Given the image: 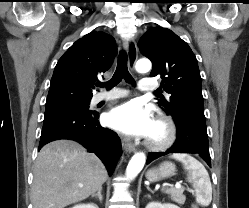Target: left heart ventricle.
<instances>
[{
  "label": "left heart ventricle",
  "instance_id": "1",
  "mask_svg": "<svg viewBox=\"0 0 249 208\" xmlns=\"http://www.w3.org/2000/svg\"><path fill=\"white\" fill-rule=\"evenodd\" d=\"M161 136H162V129L157 125H155L151 138H160Z\"/></svg>",
  "mask_w": 249,
  "mask_h": 208
}]
</instances>
